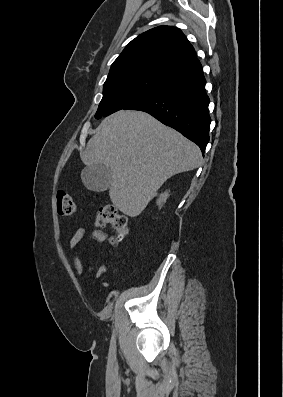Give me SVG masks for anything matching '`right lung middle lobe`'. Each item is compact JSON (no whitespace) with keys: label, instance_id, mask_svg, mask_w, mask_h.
<instances>
[{"label":"right lung middle lobe","instance_id":"1","mask_svg":"<svg viewBox=\"0 0 283 397\" xmlns=\"http://www.w3.org/2000/svg\"><path fill=\"white\" fill-rule=\"evenodd\" d=\"M166 83L168 81L145 73L110 75L104 83L96 117L99 119L124 109Z\"/></svg>","mask_w":283,"mask_h":397}]
</instances>
